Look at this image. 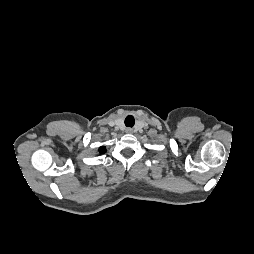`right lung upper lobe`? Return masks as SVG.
<instances>
[{"instance_id":"cb5924a9","label":"right lung upper lobe","mask_w":254,"mask_h":254,"mask_svg":"<svg viewBox=\"0 0 254 254\" xmlns=\"http://www.w3.org/2000/svg\"><path fill=\"white\" fill-rule=\"evenodd\" d=\"M105 151H106L105 147H100V148H99V152H100V153H104Z\"/></svg>"}]
</instances>
